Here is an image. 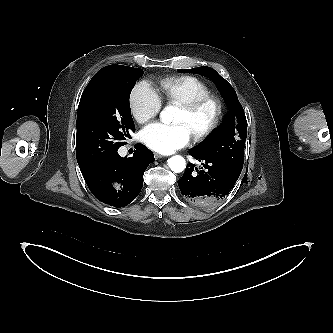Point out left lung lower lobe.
<instances>
[{
	"mask_svg": "<svg viewBox=\"0 0 333 333\" xmlns=\"http://www.w3.org/2000/svg\"><path fill=\"white\" fill-rule=\"evenodd\" d=\"M189 154L202 162V167L198 169L194 164L187 165L178 180L184 199L202 208L216 206L230 193L240 175L196 149H191Z\"/></svg>",
	"mask_w": 333,
	"mask_h": 333,
	"instance_id": "left-lung-lower-lobe-1",
	"label": "left lung lower lobe"
}]
</instances>
